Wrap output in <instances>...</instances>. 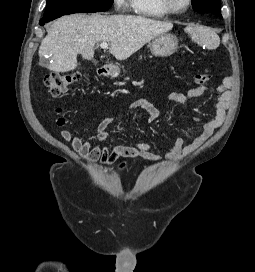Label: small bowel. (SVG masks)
<instances>
[{
  "label": "small bowel",
  "mask_w": 255,
  "mask_h": 272,
  "mask_svg": "<svg viewBox=\"0 0 255 272\" xmlns=\"http://www.w3.org/2000/svg\"><path fill=\"white\" fill-rule=\"evenodd\" d=\"M232 78L226 77L222 83L216 87L215 113L211 118L197 119L201 125L199 133L191 143L185 144L181 136L173 139L172 143L165 147L166 154L160 155L153 151V146L149 143H134L131 145H115L111 149L102 146L101 143L109 135L108 128L115 122V117H106L100 121L96 128V141H83L78 136L73 135L68 129H63L61 134L64 140L71 142L73 149L84 159L95 163L109 164L118 157L143 158L154 162H161L165 159L177 160L183 154L190 153L201 146L215 131L219 128L226 117L230 106ZM206 92L204 85L188 89L186 92H172L169 94V100L181 104L189 105L193 100L201 97ZM131 110L142 109L147 113V123L154 124L159 116V110L145 101H137L130 106Z\"/></svg>",
  "instance_id": "1"
}]
</instances>
